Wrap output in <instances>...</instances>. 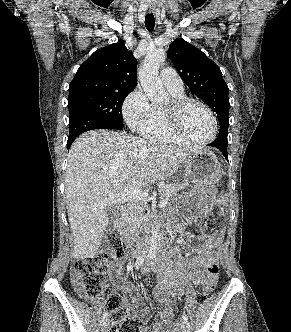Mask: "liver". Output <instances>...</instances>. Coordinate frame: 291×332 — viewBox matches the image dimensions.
<instances>
[{"instance_id": "6515ba94", "label": "liver", "mask_w": 291, "mask_h": 332, "mask_svg": "<svg viewBox=\"0 0 291 332\" xmlns=\"http://www.w3.org/2000/svg\"><path fill=\"white\" fill-rule=\"evenodd\" d=\"M198 147L159 145L133 135L90 131L79 136L68 154L65 200L74 238V256L93 258L109 223V199L145 188L175 174Z\"/></svg>"}]
</instances>
